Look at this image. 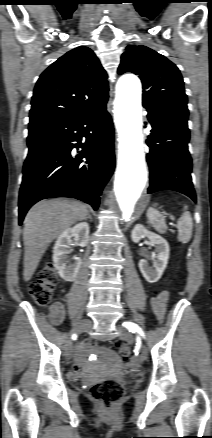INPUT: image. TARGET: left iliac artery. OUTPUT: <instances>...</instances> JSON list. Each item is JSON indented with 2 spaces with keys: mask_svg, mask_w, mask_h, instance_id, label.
Wrapping results in <instances>:
<instances>
[{
  "mask_svg": "<svg viewBox=\"0 0 212 438\" xmlns=\"http://www.w3.org/2000/svg\"><path fill=\"white\" fill-rule=\"evenodd\" d=\"M123 326L126 327L130 332L132 333H139L143 338H145V333L142 330L141 327H139L137 324L132 323V322H124Z\"/></svg>",
  "mask_w": 212,
  "mask_h": 438,
  "instance_id": "44dca946",
  "label": "left iliac artery"
}]
</instances>
